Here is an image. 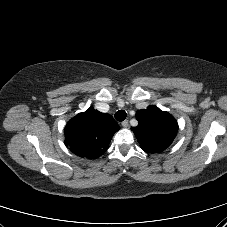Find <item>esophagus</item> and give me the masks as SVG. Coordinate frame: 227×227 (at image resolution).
<instances>
[{
  "label": "esophagus",
  "mask_w": 227,
  "mask_h": 227,
  "mask_svg": "<svg viewBox=\"0 0 227 227\" xmlns=\"http://www.w3.org/2000/svg\"><path fill=\"white\" fill-rule=\"evenodd\" d=\"M121 125L124 127V128H126V127H128V120H124L122 123H121Z\"/></svg>",
  "instance_id": "1"
}]
</instances>
